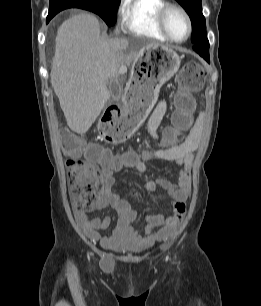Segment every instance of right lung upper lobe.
Returning <instances> with one entry per match:
<instances>
[{"label":"right lung upper lobe","mask_w":261,"mask_h":306,"mask_svg":"<svg viewBox=\"0 0 261 306\" xmlns=\"http://www.w3.org/2000/svg\"><path fill=\"white\" fill-rule=\"evenodd\" d=\"M51 2L52 1H76V0H50Z\"/></svg>","instance_id":"obj_1"}]
</instances>
